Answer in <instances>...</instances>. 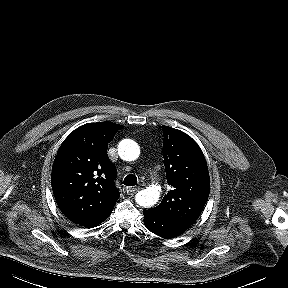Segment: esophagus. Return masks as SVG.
I'll return each instance as SVG.
<instances>
[{
    "label": "esophagus",
    "instance_id": "34e87169",
    "mask_svg": "<svg viewBox=\"0 0 288 288\" xmlns=\"http://www.w3.org/2000/svg\"><path fill=\"white\" fill-rule=\"evenodd\" d=\"M127 194H133L139 190V187L133 186V187H127L126 189Z\"/></svg>",
    "mask_w": 288,
    "mask_h": 288
}]
</instances>
